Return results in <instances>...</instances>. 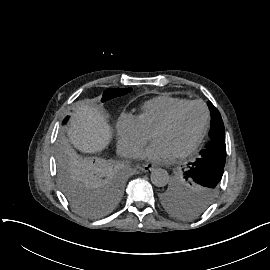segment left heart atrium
Here are the masks:
<instances>
[{"instance_id": "1", "label": "left heart atrium", "mask_w": 270, "mask_h": 270, "mask_svg": "<svg viewBox=\"0 0 270 270\" xmlns=\"http://www.w3.org/2000/svg\"><path fill=\"white\" fill-rule=\"evenodd\" d=\"M176 156L173 149L166 142L154 140L141 154L140 158L149 163L169 164Z\"/></svg>"}]
</instances>
